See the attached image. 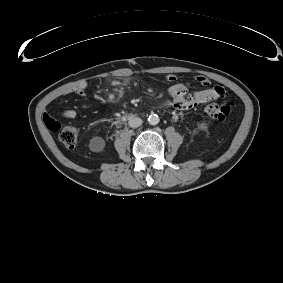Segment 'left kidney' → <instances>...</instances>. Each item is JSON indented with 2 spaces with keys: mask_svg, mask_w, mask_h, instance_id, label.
<instances>
[{
  "mask_svg": "<svg viewBox=\"0 0 283 283\" xmlns=\"http://www.w3.org/2000/svg\"><path fill=\"white\" fill-rule=\"evenodd\" d=\"M200 127H201V128H204V127H205V126H204V123L200 124Z\"/></svg>",
  "mask_w": 283,
  "mask_h": 283,
  "instance_id": "1",
  "label": "left kidney"
}]
</instances>
